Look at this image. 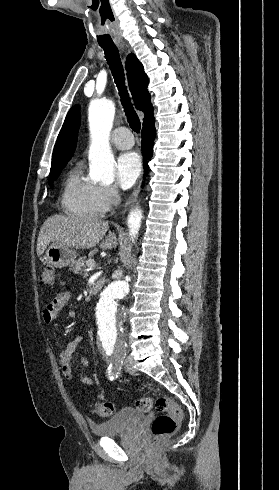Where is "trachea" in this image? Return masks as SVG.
<instances>
[{
    "label": "trachea",
    "mask_w": 279,
    "mask_h": 490,
    "mask_svg": "<svg viewBox=\"0 0 279 490\" xmlns=\"http://www.w3.org/2000/svg\"><path fill=\"white\" fill-rule=\"evenodd\" d=\"M105 52V58L110 66L111 72L114 76L116 85L120 92V97L126 116L130 127L134 132L139 133L141 128V123L136 112L132 109L130 105V99L126 87L124 85V72L122 68V63L120 61L119 53L117 47H102Z\"/></svg>",
    "instance_id": "trachea-1"
}]
</instances>
